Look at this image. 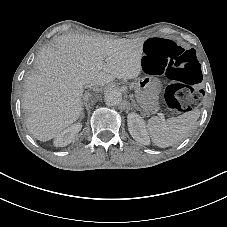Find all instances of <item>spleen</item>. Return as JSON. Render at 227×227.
<instances>
[{"label":"spleen","mask_w":227,"mask_h":227,"mask_svg":"<svg viewBox=\"0 0 227 227\" xmlns=\"http://www.w3.org/2000/svg\"><path fill=\"white\" fill-rule=\"evenodd\" d=\"M200 116L199 110L184 113L177 118L160 122L156 117L148 121L147 130L152 142L158 147H168L184 140Z\"/></svg>","instance_id":"obj_1"}]
</instances>
